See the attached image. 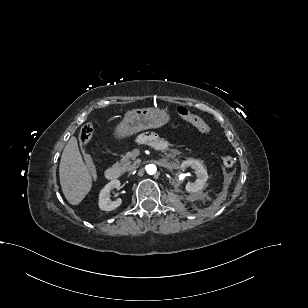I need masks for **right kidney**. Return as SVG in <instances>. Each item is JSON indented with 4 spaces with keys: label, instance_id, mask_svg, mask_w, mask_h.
Masks as SVG:
<instances>
[{
    "label": "right kidney",
    "instance_id": "1",
    "mask_svg": "<svg viewBox=\"0 0 308 308\" xmlns=\"http://www.w3.org/2000/svg\"><path fill=\"white\" fill-rule=\"evenodd\" d=\"M120 185V181L115 179L106 184L100 191L98 205L101 210L112 211L121 205L122 200L120 198L115 201L110 199L111 190L119 189Z\"/></svg>",
    "mask_w": 308,
    "mask_h": 308
}]
</instances>
